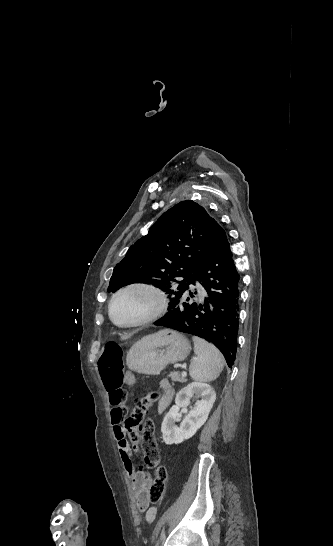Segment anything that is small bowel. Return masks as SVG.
Returning <instances> with one entry per match:
<instances>
[{
    "instance_id": "c3829d8e",
    "label": "small bowel",
    "mask_w": 333,
    "mask_h": 546,
    "mask_svg": "<svg viewBox=\"0 0 333 546\" xmlns=\"http://www.w3.org/2000/svg\"><path fill=\"white\" fill-rule=\"evenodd\" d=\"M125 375V385L127 387H135L140 383L135 381L136 378L131 370H127L123 373ZM133 380V381H132ZM163 391V395L158 402V411L163 412L171 402L173 396V389L167 380H163L160 384ZM115 397H120V401L114 402ZM123 393L117 391L114 393L109 392V401L111 404V422L113 425V434L117 442L121 461L131 481L133 495L136 501V507L139 511H145V519L148 523L152 522L156 517V509L148 508V493L151 484L155 479V473L150 474L143 470L137 471L135 469V462L132 458V452L129 444L126 440V429L123 426V421L126 416V408L122 403Z\"/></svg>"
}]
</instances>
